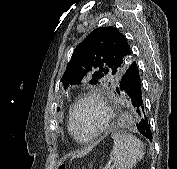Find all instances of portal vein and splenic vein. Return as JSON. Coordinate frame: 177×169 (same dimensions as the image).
I'll return each mask as SVG.
<instances>
[{"label": "portal vein and splenic vein", "instance_id": "obj_1", "mask_svg": "<svg viewBox=\"0 0 177 169\" xmlns=\"http://www.w3.org/2000/svg\"><path fill=\"white\" fill-rule=\"evenodd\" d=\"M113 168H114V166L111 165V163H108V164L104 167V169H113Z\"/></svg>", "mask_w": 177, "mask_h": 169}]
</instances>
